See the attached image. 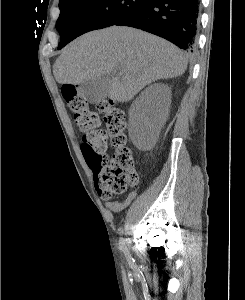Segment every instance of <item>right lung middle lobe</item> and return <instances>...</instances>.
<instances>
[{"label":"right lung middle lobe","instance_id":"obj_1","mask_svg":"<svg viewBox=\"0 0 245 300\" xmlns=\"http://www.w3.org/2000/svg\"><path fill=\"white\" fill-rule=\"evenodd\" d=\"M149 0H60L56 29L61 36L58 49L76 37L114 25Z\"/></svg>","mask_w":245,"mask_h":300}]
</instances>
